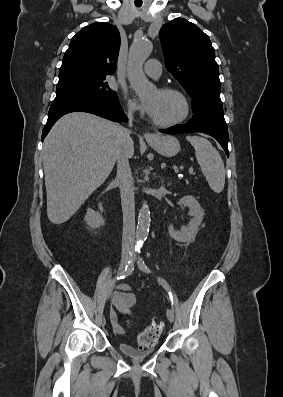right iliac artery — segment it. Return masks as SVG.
Instances as JSON below:
<instances>
[{
  "label": "right iliac artery",
  "instance_id": "obj_1",
  "mask_svg": "<svg viewBox=\"0 0 283 397\" xmlns=\"http://www.w3.org/2000/svg\"><path fill=\"white\" fill-rule=\"evenodd\" d=\"M130 256H132V253L130 254ZM133 270H134V264H133L132 259H130V260L128 261L126 267H125V270H124L119 276H117L116 278H114V279L112 280V282L114 283V282H116V281H119V280L124 279L125 277L129 276V275L133 272Z\"/></svg>",
  "mask_w": 283,
  "mask_h": 397
}]
</instances>
